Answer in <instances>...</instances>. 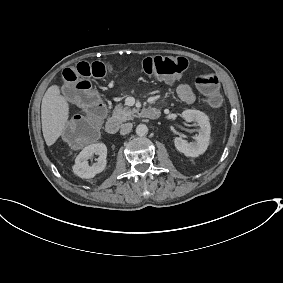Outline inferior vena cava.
Returning a JSON list of instances; mask_svg holds the SVG:
<instances>
[{
	"label": "inferior vena cava",
	"mask_w": 283,
	"mask_h": 283,
	"mask_svg": "<svg viewBox=\"0 0 283 283\" xmlns=\"http://www.w3.org/2000/svg\"><path fill=\"white\" fill-rule=\"evenodd\" d=\"M131 129H132V123H125V124L121 125L120 134L126 135L131 131Z\"/></svg>",
	"instance_id": "inferior-vena-cava-1"
}]
</instances>
